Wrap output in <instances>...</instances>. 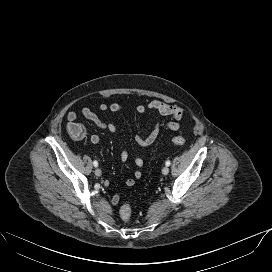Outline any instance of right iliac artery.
Here are the masks:
<instances>
[{"mask_svg": "<svg viewBox=\"0 0 272 272\" xmlns=\"http://www.w3.org/2000/svg\"><path fill=\"white\" fill-rule=\"evenodd\" d=\"M93 165H94L95 167H97V166H98V162L95 160V161L93 162Z\"/></svg>", "mask_w": 272, "mask_h": 272, "instance_id": "right-iliac-artery-1", "label": "right iliac artery"}]
</instances>
